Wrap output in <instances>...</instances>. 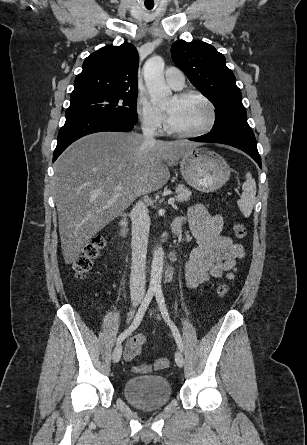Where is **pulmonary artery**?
Segmentation results:
<instances>
[{
	"mask_svg": "<svg viewBox=\"0 0 307 445\" xmlns=\"http://www.w3.org/2000/svg\"><path fill=\"white\" fill-rule=\"evenodd\" d=\"M165 77L168 84L174 88H181L184 84L182 69H167Z\"/></svg>",
	"mask_w": 307,
	"mask_h": 445,
	"instance_id": "obj_1",
	"label": "pulmonary artery"
}]
</instances>
